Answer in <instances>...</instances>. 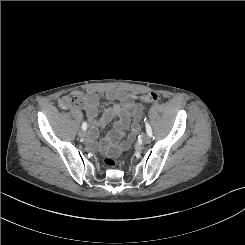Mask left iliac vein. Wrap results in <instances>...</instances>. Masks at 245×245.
Returning a JSON list of instances; mask_svg holds the SVG:
<instances>
[{
  "instance_id": "1",
  "label": "left iliac vein",
  "mask_w": 245,
  "mask_h": 245,
  "mask_svg": "<svg viewBox=\"0 0 245 245\" xmlns=\"http://www.w3.org/2000/svg\"><path fill=\"white\" fill-rule=\"evenodd\" d=\"M142 140H143V142H144L145 144H148V143L151 142V136H149V135H144V136L142 137Z\"/></svg>"
}]
</instances>
